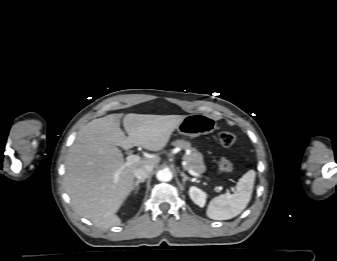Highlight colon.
<instances>
[{
  "mask_svg": "<svg viewBox=\"0 0 337 261\" xmlns=\"http://www.w3.org/2000/svg\"><path fill=\"white\" fill-rule=\"evenodd\" d=\"M219 142L223 147H230L235 142V135L231 132H222L219 135ZM219 168L221 171L231 174L234 170L233 164L227 158H222L219 162Z\"/></svg>",
  "mask_w": 337,
  "mask_h": 261,
  "instance_id": "obj_1",
  "label": "colon"
}]
</instances>
